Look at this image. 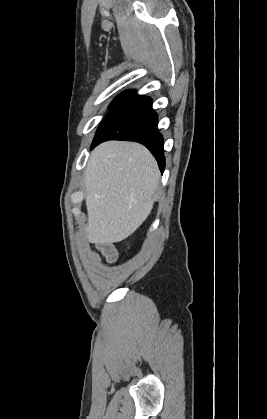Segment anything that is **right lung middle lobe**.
Returning <instances> with one entry per match:
<instances>
[{"instance_id": "dd1d6c3e", "label": "right lung middle lobe", "mask_w": 267, "mask_h": 419, "mask_svg": "<svg viewBox=\"0 0 267 419\" xmlns=\"http://www.w3.org/2000/svg\"><path fill=\"white\" fill-rule=\"evenodd\" d=\"M128 94H126V93H122V94H120V95H118L113 101H112V103L109 105V108L110 107H114L115 105H117L119 102H121L126 96H127Z\"/></svg>"}]
</instances>
